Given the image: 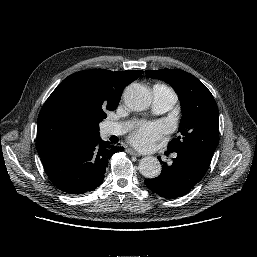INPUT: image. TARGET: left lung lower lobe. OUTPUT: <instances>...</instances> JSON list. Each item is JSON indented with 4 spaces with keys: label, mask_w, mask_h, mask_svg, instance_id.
Segmentation results:
<instances>
[{
    "label": "left lung lower lobe",
    "mask_w": 257,
    "mask_h": 257,
    "mask_svg": "<svg viewBox=\"0 0 257 257\" xmlns=\"http://www.w3.org/2000/svg\"><path fill=\"white\" fill-rule=\"evenodd\" d=\"M170 153V151L168 150ZM177 157L167 165L158 157L162 165L161 174L153 179H145L146 186L154 193L166 198L186 195L208 170L212 156L199 150L175 151Z\"/></svg>",
    "instance_id": "obj_1"
}]
</instances>
